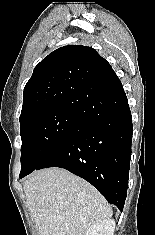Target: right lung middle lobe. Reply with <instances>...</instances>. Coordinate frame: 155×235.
Returning <instances> with one entry per match:
<instances>
[{"label": "right lung middle lobe", "mask_w": 155, "mask_h": 235, "mask_svg": "<svg viewBox=\"0 0 155 235\" xmlns=\"http://www.w3.org/2000/svg\"><path fill=\"white\" fill-rule=\"evenodd\" d=\"M84 123L79 114L60 106H44L20 116V173L37 168Z\"/></svg>", "instance_id": "dd1d6c3e"}]
</instances>
